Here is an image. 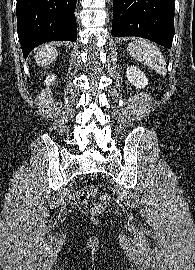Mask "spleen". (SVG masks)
Instances as JSON below:
<instances>
[{
	"label": "spleen",
	"mask_w": 195,
	"mask_h": 270,
	"mask_svg": "<svg viewBox=\"0 0 195 270\" xmlns=\"http://www.w3.org/2000/svg\"><path fill=\"white\" fill-rule=\"evenodd\" d=\"M129 54L137 61L151 67L158 74L166 75V61L161 51L152 43L138 39L128 45Z\"/></svg>",
	"instance_id": "spleen-1"
}]
</instances>
